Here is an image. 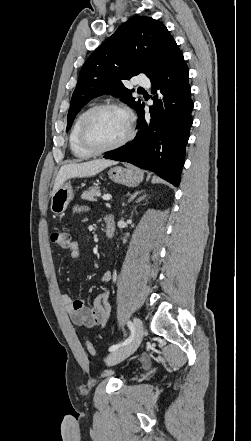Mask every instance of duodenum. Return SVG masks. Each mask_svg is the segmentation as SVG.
<instances>
[{
  "mask_svg": "<svg viewBox=\"0 0 251 441\" xmlns=\"http://www.w3.org/2000/svg\"><path fill=\"white\" fill-rule=\"evenodd\" d=\"M115 234V222L114 219L112 217H107L106 218V223H105V235L107 238H112Z\"/></svg>",
  "mask_w": 251,
  "mask_h": 441,
  "instance_id": "obj_1",
  "label": "duodenum"
}]
</instances>
